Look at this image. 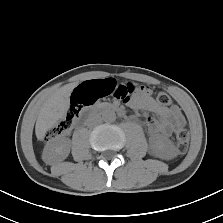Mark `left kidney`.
Returning a JSON list of instances; mask_svg holds the SVG:
<instances>
[{"instance_id": "1", "label": "left kidney", "mask_w": 223, "mask_h": 223, "mask_svg": "<svg viewBox=\"0 0 223 223\" xmlns=\"http://www.w3.org/2000/svg\"><path fill=\"white\" fill-rule=\"evenodd\" d=\"M151 149L155 156L163 159H171L176 156V148L167 138H159L153 141Z\"/></svg>"}]
</instances>
